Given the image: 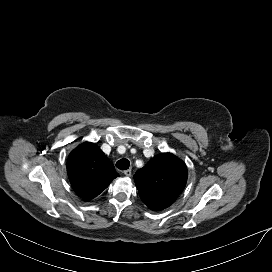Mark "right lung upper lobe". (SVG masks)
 <instances>
[{
  "label": "right lung upper lobe",
  "mask_w": 272,
  "mask_h": 272,
  "mask_svg": "<svg viewBox=\"0 0 272 272\" xmlns=\"http://www.w3.org/2000/svg\"><path fill=\"white\" fill-rule=\"evenodd\" d=\"M67 173L75 193L85 201L98 196L119 176L101 149L89 142L70 153Z\"/></svg>",
  "instance_id": "right-lung-upper-lobe-1"
}]
</instances>
